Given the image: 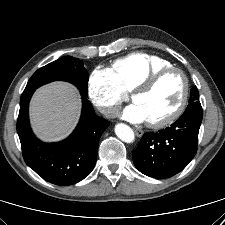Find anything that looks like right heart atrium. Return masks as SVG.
Instances as JSON below:
<instances>
[{"label": "right heart atrium", "instance_id": "obj_1", "mask_svg": "<svg viewBox=\"0 0 225 225\" xmlns=\"http://www.w3.org/2000/svg\"><path fill=\"white\" fill-rule=\"evenodd\" d=\"M88 92L94 105L108 117L116 114L125 97V92L108 69H96L91 73Z\"/></svg>", "mask_w": 225, "mask_h": 225}]
</instances>
